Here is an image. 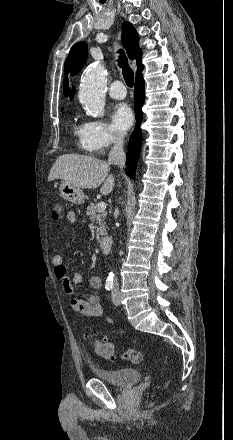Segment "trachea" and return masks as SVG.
<instances>
[{"label":"trachea","instance_id":"obj_1","mask_svg":"<svg viewBox=\"0 0 233 440\" xmlns=\"http://www.w3.org/2000/svg\"><path fill=\"white\" fill-rule=\"evenodd\" d=\"M118 52L120 53L118 62H119V66L122 68L124 80H125L127 86L133 87L134 73H133L132 69L128 66L127 57H126L125 53L123 52V50H119Z\"/></svg>","mask_w":233,"mask_h":440}]
</instances>
